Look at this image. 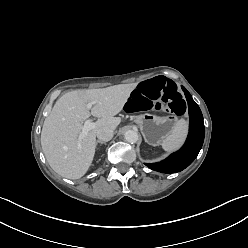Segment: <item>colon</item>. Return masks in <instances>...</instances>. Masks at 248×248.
Returning <instances> with one entry per match:
<instances>
[{
    "mask_svg": "<svg viewBox=\"0 0 248 248\" xmlns=\"http://www.w3.org/2000/svg\"><path fill=\"white\" fill-rule=\"evenodd\" d=\"M161 108H167L176 115H181L186 110L185 101L177 86L163 78H155L137 86L125 104L129 113Z\"/></svg>",
    "mask_w": 248,
    "mask_h": 248,
    "instance_id": "obj_1",
    "label": "colon"
}]
</instances>
